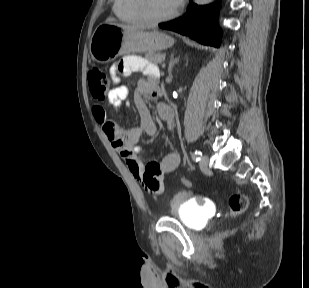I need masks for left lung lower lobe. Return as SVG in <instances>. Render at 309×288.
<instances>
[{"label": "left lung lower lobe", "instance_id": "0a47b994", "mask_svg": "<svg viewBox=\"0 0 309 288\" xmlns=\"http://www.w3.org/2000/svg\"><path fill=\"white\" fill-rule=\"evenodd\" d=\"M219 2L198 6L190 0L186 13L175 20L160 23L162 29L189 36L202 44L220 46L221 32L217 25Z\"/></svg>", "mask_w": 309, "mask_h": 288}]
</instances>
